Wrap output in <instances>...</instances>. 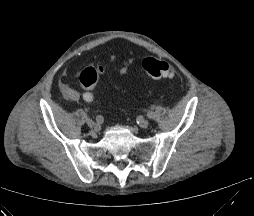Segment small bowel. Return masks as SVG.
<instances>
[{"label": "small bowel", "mask_w": 254, "mask_h": 216, "mask_svg": "<svg viewBox=\"0 0 254 216\" xmlns=\"http://www.w3.org/2000/svg\"><path fill=\"white\" fill-rule=\"evenodd\" d=\"M110 66L116 67V60L115 57H111ZM118 73L121 75H124L127 70V63L124 62L120 67L117 68ZM60 89L64 95V97L71 101H79L81 98L85 99L86 101H91L93 99V95L90 92H85L83 95H81L76 89L71 87L66 81L61 80L59 83Z\"/></svg>", "instance_id": "small-bowel-1"}]
</instances>
